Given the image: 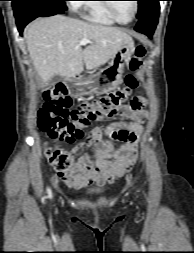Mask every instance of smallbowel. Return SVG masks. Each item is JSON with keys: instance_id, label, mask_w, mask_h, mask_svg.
<instances>
[{"instance_id": "c3829d8e", "label": "small bowel", "mask_w": 194, "mask_h": 253, "mask_svg": "<svg viewBox=\"0 0 194 253\" xmlns=\"http://www.w3.org/2000/svg\"><path fill=\"white\" fill-rule=\"evenodd\" d=\"M131 103L110 116L124 120L114 121L106 127L95 126L83 142L74 145L69 154L77 155L83 148L93 149L92 155H81L72 166L57 176L70 188L80 189L91 184L112 183L128 171L137 160L139 138L148 118L144 108L146 100L134 97ZM120 142L117 146L115 143Z\"/></svg>"}]
</instances>
